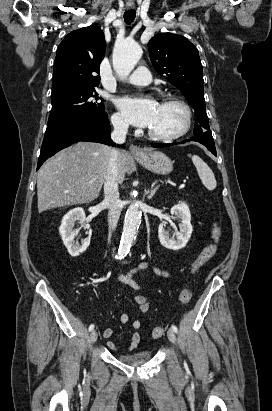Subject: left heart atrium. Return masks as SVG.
Segmentation results:
<instances>
[{
  "label": "left heart atrium",
  "instance_id": "1",
  "mask_svg": "<svg viewBox=\"0 0 272 411\" xmlns=\"http://www.w3.org/2000/svg\"><path fill=\"white\" fill-rule=\"evenodd\" d=\"M117 106L129 123L138 127H150L155 120L159 103L150 97L125 96L117 101Z\"/></svg>",
  "mask_w": 272,
  "mask_h": 411
}]
</instances>
